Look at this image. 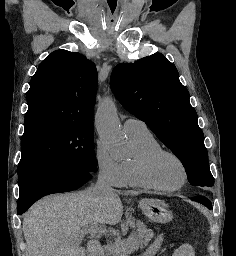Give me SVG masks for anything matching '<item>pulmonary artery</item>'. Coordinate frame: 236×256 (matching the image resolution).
Here are the masks:
<instances>
[{
    "instance_id": "obj_1",
    "label": "pulmonary artery",
    "mask_w": 236,
    "mask_h": 256,
    "mask_svg": "<svg viewBox=\"0 0 236 256\" xmlns=\"http://www.w3.org/2000/svg\"><path fill=\"white\" fill-rule=\"evenodd\" d=\"M123 128L129 136L142 135L150 132L143 121L133 117L124 121Z\"/></svg>"
}]
</instances>
